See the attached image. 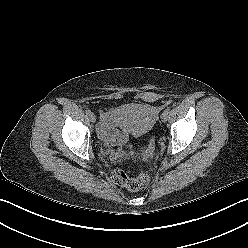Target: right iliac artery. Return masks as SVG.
Returning a JSON list of instances; mask_svg holds the SVG:
<instances>
[{"instance_id": "82829eb1", "label": "right iliac artery", "mask_w": 248, "mask_h": 248, "mask_svg": "<svg viewBox=\"0 0 248 248\" xmlns=\"http://www.w3.org/2000/svg\"><path fill=\"white\" fill-rule=\"evenodd\" d=\"M85 112H86V115H90L91 114V110H89V109L86 110Z\"/></svg>"}]
</instances>
